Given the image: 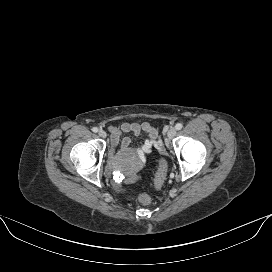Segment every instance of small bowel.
<instances>
[{
	"label": "small bowel",
	"instance_id": "obj_1",
	"mask_svg": "<svg viewBox=\"0 0 272 272\" xmlns=\"http://www.w3.org/2000/svg\"><path fill=\"white\" fill-rule=\"evenodd\" d=\"M111 145L112 148L120 147L123 151H131L138 155L141 160H144L152 151L154 147H159L160 143L157 141V131L148 122L144 123H123L120 127H110ZM123 134H133L138 136L144 134L145 141L137 149H130L131 139L123 137Z\"/></svg>",
	"mask_w": 272,
	"mask_h": 272
}]
</instances>
